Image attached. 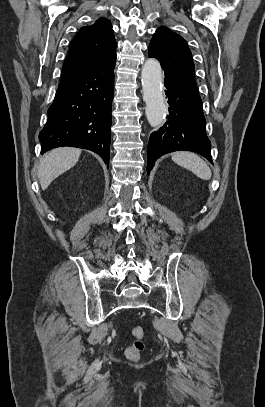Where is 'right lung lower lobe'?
<instances>
[{"mask_svg":"<svg viewBox=\"0 0 265 407\" xmlns=\"http://www.w3.org/2000/svg\"><path fill=\"white\" fill-rule=\"evenodd\" d=\"M116 55L60 82L39 134L41 153L72 146L99 154L109 165Z\"/></svg>","mask_w":265,"mask_h":407,"instance_id":"98d812e1","label":"right lung lower lobe"}]
</instances>
